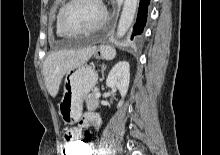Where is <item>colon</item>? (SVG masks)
I'll use <instances>...</instances> for the list:
<instances>
[{"label": "colon", "instance_id": "1", "mask_svg": "<svg viewBox=\"0 0 220 155\" xmlns=\"http://www.w3.org/2000/svg\"><path fill=\"white\" fill-rule=\"evenodd\" d=\"M90 142L87 139H74V141L64 142L62 146L63 155H87Z\"/></svg>", "mask_w": 220, "mask_h": 155}]
</instances>
